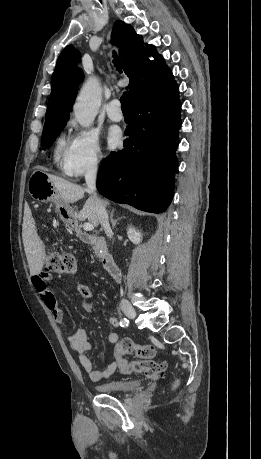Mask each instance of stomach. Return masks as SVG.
I'll return each instance as SVG.
<instances>
[{
    "label": "stomach",
    "mask_w": 261,
    "mask_h": 459,
    "mask_svg": "<svg viewBox=\"0 0 261 459\" xmlns=\"http://www.w3.org/2000/svg\"><path fill=\"white\" fill-rule=\"evenodd\" d=\"M27 187L28 192L33 199L41 202H55L61 206L62 199L45 172L40 170L34 171L30 176ZM59 212L61 217L65 221H68L67 218L70 209L61 206Z\"/></svg>",
    "instance_id": "1"
}]
</instances>
